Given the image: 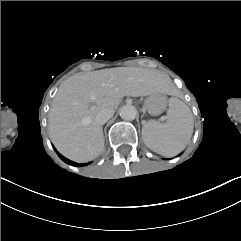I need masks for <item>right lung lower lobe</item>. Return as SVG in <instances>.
I'll return each instance as SVG.
<instances>
[{
	"mask_svg": "<svg viewBox=\"0 0 241 241\" xmlns=\"http://www.w3.org/2000/svg\"><path fill=\"white\" fill-rule=\"evenodd\" d=\"M59 157L66 163L70 164V165H73V166H77V167H81V166H85V165H88V164H78V163H75L73 161H70L68 159H66L65 157H63L62 155L58 154Z\"/></svg>",
	"mask_w": 241,
	"mask_h": 241,
	"instance_id": "98d812e1",
	"label": "right lung lower lobe"
}]
</instances>
